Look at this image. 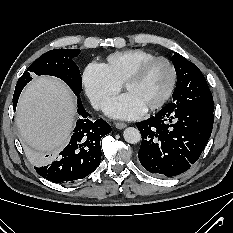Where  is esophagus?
<instances>
[{
    "mask_svg": "<svg viewBox=\"0 0 233 233\" xmlns=\"http://www.w3.org/2000/svg\"><path fill=\"white\" fill-rule=\"evenodd\" d=\"M115 127L117 128V129H124V128H126L127 127V124L126 123H124V122H117V123H115Z\"/></svg>",
    "mask_w": 233,
    "mask_h": 233,
    "instance_id": "esophagus-1",
    "label": "esophagus"
}]
</instances>
